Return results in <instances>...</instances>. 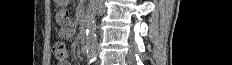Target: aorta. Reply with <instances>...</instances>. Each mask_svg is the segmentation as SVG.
<instances>
[{"label":"aorta","mask_w":232,"mask_h":65,"mask_svg":"<svg viewBox=\"0 0 232 65\" xmlns=\"http://www.w3.org/2000/svg\"><path fill=\"white\" fill-rule=\"evenodd\" d=\"M102 0H89L86 12V54L95 58L97 55V36L95 19L98 10L101 8Z\"/></svg>","instance_id":"762f6f07"}]
</instances>
